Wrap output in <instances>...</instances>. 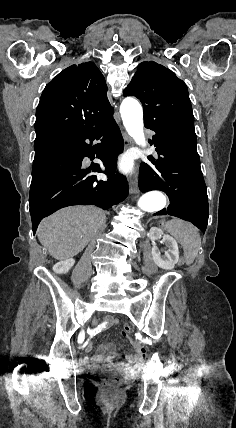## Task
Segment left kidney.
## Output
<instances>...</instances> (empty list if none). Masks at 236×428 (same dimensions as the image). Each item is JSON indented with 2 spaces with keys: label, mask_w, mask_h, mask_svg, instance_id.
<instances>
[{
  "label": "left kidney",
  "mask_w": 236,
  "mask_h": 428,
  "mask_svg": "<svg viewBox=\"0 0 236 428\" xmlns=\"http://www.w3.org/2000/svg\"><path fill=\"white\" fill-rule=\"evenodd\" d=\"M150 238L153 242L163 238L162 242H164L166 246V252L161 254V250L157 248L156 244H153L152 256L155 264H157L159 268H163V270H173L175 264H177L179 260V250L176 240L171 238V236H165L160 228H151Z\"/></svg>",
  "instance_id": "obj_1"
}]
</instances>
